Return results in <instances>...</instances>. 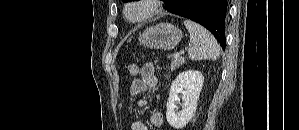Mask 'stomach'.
Here are the masks:
<instances>
[{"mask_svg":"<svg viewBox=\"0 0 299 130\" xmlns=\"http://www.w3.org/2000/svg\"><path fill=\"white\" fill-rule=\"evenodd\" d=\"M182 31L170 24L160 23L146 29L138 38L141 45L151 49L171 50L182 39Z\"/></svg>","mask_w":299,"mask_h":130,"instance_id":"obj_1","label":"stomach"}]
</instances>
